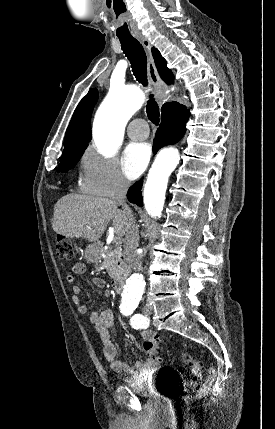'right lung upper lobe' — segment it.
I'll list each match as a JSON object with an SVG mask.
<instances>
[{
    "instance_id": "cb5924a9",
    "label": "right lung upper lobe",
    "mask_w": 275,
    "mask_h": 429,
    "mask_svg": "<svg viewBox=\"0 0 275 429\" xmlns=\"http://www.w3.org/2000/svg\"><path fill=\"white\" fill-rule=\"evenodd\" d=\"M152 54L161 78L166 83H173L172 72L166 67V61L159 51L152 48ZM98 98L96 89H91L88 94L80 101L74 111L70 124L66 131L64 140L63 156L84 152L91 140L90 119L94 105ZM176 102L166 103L161 111L162 116L169 110L170 106ZM161 116V117H162Z\"/></svg>"
}]
</instances>
